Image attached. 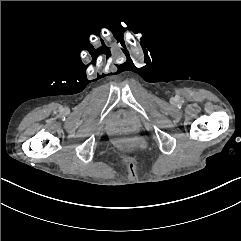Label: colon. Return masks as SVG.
Instances as JSON below:
<instances>
[{"label":"colon","instance_id":"colon-1","mask_svg":"<svg viewBox=\"0 0 241 241\" xmlns=\"http://www.w3.org/2000/svg\"><path fill=\"white\" fill-rule=\"evenodd\" d=\"M125 145L138 151H146L149 147V143L146 139L134 135H127L125 137Z\"/></svg>","mask_w":241,"mask_h":241}]
</instances>
